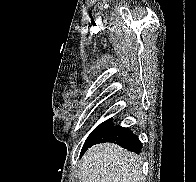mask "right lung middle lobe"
Here are the masks:
<instances>
[{"label": "right lung middle lobe", "mask_w": 196, "mask_h": 182, "mask_svg": "<svg viewBox=\"0 0 196 182\" xmlns=\"http://www.w3.org/2000/svg\"><path fill=\"white\" fill-rule=\"evenodd\" d=\"M111 126H112L111 119L106 120L105 122L97 126L86 139L82 151H85L102 132H104L106 129H108Z\"/></svg>", "instance_id": "dd1d6c3e"}]
</instances>
